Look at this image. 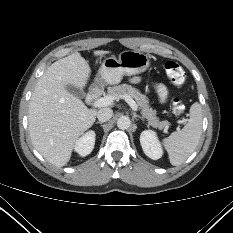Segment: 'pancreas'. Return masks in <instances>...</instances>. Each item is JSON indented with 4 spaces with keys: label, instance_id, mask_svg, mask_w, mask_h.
<instances>
[{
    "label": "pancreas",
    "instance_id": "cf45deb5",
    "mask_svg": "<svg viewBox=\"0 0 233 233\" xmlns=\"http://www.w3.org/2000/svg\"><path fill=\"white\" fill-rule=\"evenodd\" d=\"M108 96L117 98L121 94H127L134 97L137 101L138 106L141 109L143 118L148 121V124L154 128L164 129L165 131L169 128L170 124L168 121H160L156 117V111L150 108L148 98L140 93V91L129 84H121L114 87L108 88Z\"/></svg>",
    "mask_w": 233,
    "mask_h": 233
}]
</instances>
